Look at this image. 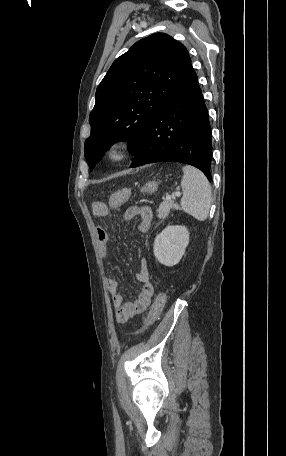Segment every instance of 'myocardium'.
<instances>
[{"mask_svg":"<svg viewBox=\"0 0 286 456\" xmlns=\"http://www.w3.org/2000/svg\"><path fill=\"white\" fill-rule=\"evenodd\" d=\"M133 141L128 137H117L111 140L105 150V156L112 163H121L131 154Z\"/></svg>","mask_w":286,"mask_h":456,"instance_id":"f54148a6","label":"myocardium"}]
</instances>
